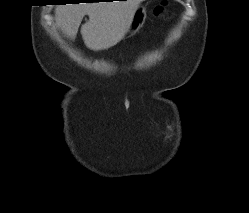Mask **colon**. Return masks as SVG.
Wrapping results in <instances>:
<instances>
[{
  "mask_svg": "<svg viewBox=\"0 0 249 213\" xmlns=\"http://www.w3.org/2000/svg\"><path fill=\"white\" fill-rule=\"evenodd\" d=\"M165 13H166V5H165V3L156 6L155 9H154L155 16H158V17L163 16V15H165Z\"/></svg>",
  "mask_w": 249,
  "mask_h": 213,
  "instance_id": "colon-1",
  "label": "colon"
}]
</instances>
